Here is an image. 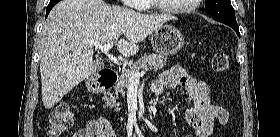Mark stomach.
<instances>
[{"label":"stomach","mask_w":280,"mask_h":137,"mask_svg":"<svg viewBox=\"0 0 280 137\" xmlns=\"http://www.w3.org/2000/svg\"><path fill=\"white\" fill-rule=\"evenodd\" d=\"M151 44L159 55L168 56L178 53L184 45L182 33L171 25H163L151 33Z\"/></svg>","instance_id":"0dacf381"}]
</instances>
